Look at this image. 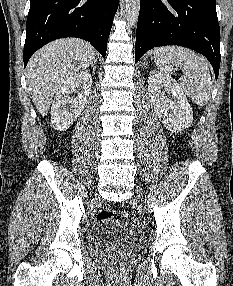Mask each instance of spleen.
I'll use <instances>...</instances> for the list:
<instances>
[{
	"label": "spleen",
	"mask_w": 233,
	"mask_h": 286,
	"mask_svg": "<svg viewBox=\"0 0 233 286\" xmlns=\"http://www.w3.org/2000/svg\"><path fill=\"white\" fill-rule=\"evenodd\" d=\"M154 62L165 75L172 74L173 66L181 67L183 77L179 85L183 92L199 105H207L212 82L206 59L191 49L181 46H163L154 50Z\"/></svg>",
	"instance_id": "3e777b00"
}]
</instances>
